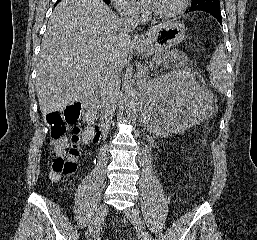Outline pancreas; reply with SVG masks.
I'll return each mask as SVG.
<instances>
[{
    "label": "pancreas",
    "instance_id": "cf45deb5",
    "mask_svg": "<svg viewBox=\"0 0 257 240\" xmlns=\"http://www.w3.org/2000/svg\"><path fill=\"white\" fill-rule=\"evenodd\" d=\"M189 59L188 57L185 56V54L181 51L178 50H173L171 52H166L163 54L156 55L152 61H150L149 65L146 66L147 70H155L157 69L160 65H166L167 63H174L177 64L178 62L185 63L188 62ZM144 69V67H143ZM139 75L143 77V79L146 78V74H141L139 72ZM98 108H101V103L99 104Z\"/></svg>",
    "mask_w": 257,
    "mask_h": 240
}]
</instances>
